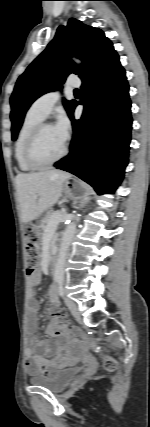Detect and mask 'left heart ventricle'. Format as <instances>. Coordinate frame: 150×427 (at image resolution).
<instances>
[{"mask_svg":"<svg viewBox=\"0 0 150 427\" xmlns=\"http://www.w3.org/2000/svg\"><path fill=\"white\" fill-rule=\"evenodd\" d=\"M66 141L57 128L48 127L40 134L35 146L34 156L40 162H48L61 154Z\"/></svg>","mask_w":150,"mask_h":427,"instance_id":"1","label":"left heart ventricle"}]
</instances>
